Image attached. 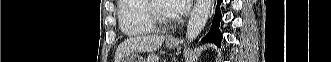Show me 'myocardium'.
<instances>
[{
  "instance_id": "f54148a6",
  "label": "myocardium",
  "mask_w": 331,
  "mask_h": 62,
  "mask_svg": "<svg viewBox=\"0 0 331 62\" xmlns=\"http://www.w3.org/2000/svg\"><path fill=\"white\" fill-rule=\"evenodd\" d=\"M158 1L156 0H148L146 1V16L149 22L155 28H167L174 24V18H166L164 17L157 6Z\"/></svg>"
}]
</instances>
